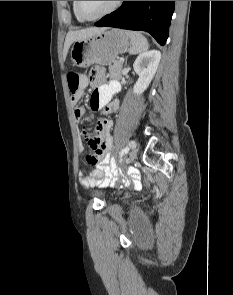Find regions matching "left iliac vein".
Listing matches in <instances>:
<instances>
[{"label":"left iliac vein","mask_w":233,"mask_h":295,"mask_svg":"<svg viewBox=\"0 0 233 295\" xmlns=\"http://www.w3.org/2000/svg\"><path fill=\"white\" fill-rule=\"evenodd\" d=\"M135 142V141H134ZM135 144H136V142H135ZM132 150H131V152H130V154H129V162L130 163H133L134 162V160L136 159V157H137V150H136V147L135 148H132V147H130Z\"/></svg>","instance_id":"1"}]
</instances>
